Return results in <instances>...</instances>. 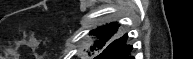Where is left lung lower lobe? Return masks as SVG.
<instances>
[{"label": "left lung lower lobe", "instance_id": "left-lung-lower-lobe-1", "mask_svg": "<svg viewBox=\"0 0 193 59\" xmlns=\"http://www.w3.org/2000/svg\"><path fill=\"white\" fill-rule=\"evenodd\" d=\"M127 35L118 39L110 48H106L98 59H134L129 56L132 46L126 45Z\"/></svg>", "mask_w": 193, "mask_h": 59}]
</instances>
